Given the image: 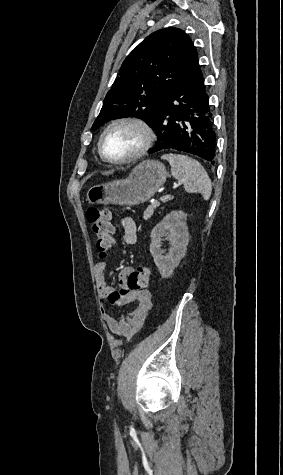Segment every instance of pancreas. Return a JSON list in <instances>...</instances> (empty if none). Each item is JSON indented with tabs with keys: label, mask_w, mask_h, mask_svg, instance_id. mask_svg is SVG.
Returning a JSON list of instances; mask_svg holds the SVG:
<instances>
[{
	"label": "pancreas",
	"mask_w": 283,
	"mask_h": 475,
	"mask_svg": "<svg viewBox=\"0 0 283 475\" xmlns=\"http://www.w3.org/2000/svg\"><path fill=\"white\" fill-rule=\"evenodd\" d=\"M169 200H173V196H163L161 202L165 204V202H169ZM158 206H160V202H153V204H150L144 212V220H149V218L153 216L155 208H158Z\"/></svg>",
	"instance_id": "1"
}]
</instances>
